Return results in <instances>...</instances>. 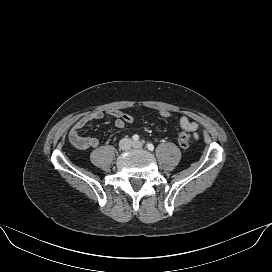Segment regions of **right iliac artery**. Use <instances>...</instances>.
<instances>
[{
  "instance_id": "82829eb1",
  "label": "right iliac artery",
  "mask_w": 272,
  "mask_h": 272,
  "mask_svg": "<svg viewBox=\"0 0 272 272\" xmlns=\"http://www.w3.org/2000/svg\"><path fill=\"white\" fill-rule=\"evenodd\" d=\"M132 139H133L134 141H138V140H139V136H138L137 134H135V135H133Z\"/></svg>"
}]
</instances>
